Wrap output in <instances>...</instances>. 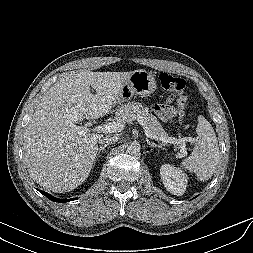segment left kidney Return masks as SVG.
Returning a JSON list of instances; mask_svg holds the SVG:
<instances>
[{"label":"left kidney","instance_id":"5707ae66","mask_svg":"<svg viewBox=\"0 0 253 253\" xmlns=\"http://www.w3.org/2000/svg\"><path fill=\"white\" fill-rule=\"evenodd\" d=\"M160 176L164 187L172 194L181 196L184 194L187 187L186 174L169 164H164L160 168Z\"/></svg>","mask_w":253,"mask_h":253}]
</instances>
